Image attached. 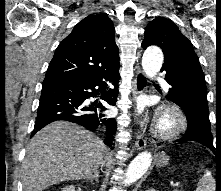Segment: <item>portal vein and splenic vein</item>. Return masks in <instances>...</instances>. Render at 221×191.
Segmentation results:
<instances>
[{
  "instance_id": "obj_1",
  "label": "portal vein and splenic vein",
  "mask_w": 221,
  "mask_h": 191,
  "mask_svg": "<svg viewBox=\"0 0 221 191\" xmlns=\"http://www.w3.org/2000/svg\"><path fill=\"white\" fill-rule=\"evenodd\" d=\"M180 185H181L180 182L172 183V187H179Z\"/></svg>"
}]
</instances>
